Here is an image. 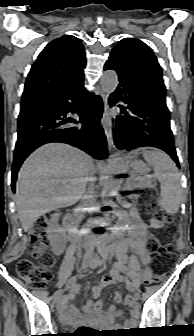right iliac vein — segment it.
<instances>
[{"instance_id": "63e3f726", "label": "right iliac vein", "mask_w": 194, "mask_h": 336, "mask_svg": "<svg viewBox=\"0 0 194 336\" xmlns=\"http://www.w3.org/2000/svg\"><path fill=\"white\" fill-rule=\"evenodd\" d=\"M60 294H61V292H59L58 296H59ZM62 303H63V302L61 301V299H59V300H58V307H60V306L62 305Z\"/></svg>"}]
</instances>
